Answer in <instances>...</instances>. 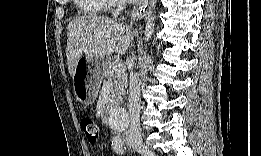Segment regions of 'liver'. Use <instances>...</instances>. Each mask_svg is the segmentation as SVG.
I'll return each instance as SVG.
<instances>
[{"instance_id":"obj_1","label":"liver","mask_w":261,"mask_h":156,"mask_svg":"<svg viewBox=\"0 0 261 156\" xmlns=\"http://www.w3.org/2000/svg\"><path fill=\"white\" fill-rule=\"evenodd\" d=\"M133 40L129 27L108 17L90 15L72 20L67 28V64L73 77L79 59L124 54Z\"/></svg>"}]
</instances>
